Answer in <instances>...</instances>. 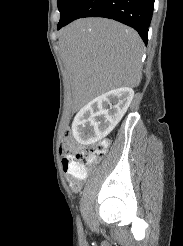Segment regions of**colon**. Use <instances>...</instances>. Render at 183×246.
I'll list each match as a JSON object with an SVG mask.
<instances>
[{"label": "colon", "mask_w": 183, "mask_h": 246, "mask_svg": "<svg viewBox=\"0 0 183 246\" xmlns=\"http://www.w3.org/2000/svg\"><path fill=\"white\" fill-rule=\"evenodd\" d=\"M108 142L103 140L85 149H77L73 143L71 133L65 130L60 145V152L64 155L62 166L76 186L86 176V168L100 160L106 153Z\"/></svg>", "instance_id": "colon-1"}]
</instances>
